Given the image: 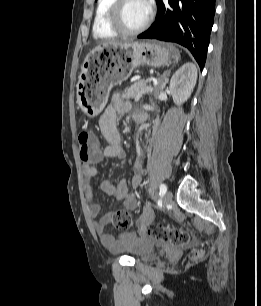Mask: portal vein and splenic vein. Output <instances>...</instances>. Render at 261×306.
Masks as SVG:
<instances>
[{
    "label": "portal vein and splenic vein",
    "mask_w": 261,
    "mask_h": 306,
    "mask_svg": "<svg viewBox=\"0 0 261 306\" xmlns=\"http://www.w3.org/2000/svg\"><path fill=\"white\" fill-rule=\"evenodd\" d=\"M157 84V81L156 80H153V85H156ZM150 90V87L149 88H147V90L146 91H149ZM140 99V96H137L136 98H135V101H138Z\"/></svg>",
    "instance_id": "1"
}]
</instances>
